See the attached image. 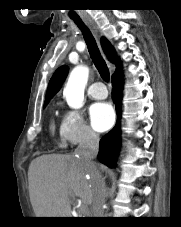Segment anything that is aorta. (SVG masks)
<instances>
[{"mask_svg": "<svg viewBox=\"0 0 181 227\" xmlns=\"http://www.w3.org/2000/svg\"><path fill=\"white\" fill-rule=\"evenodd\" d=\"M89 69L85 65L76 66L70 73L63 91L69 107L79 109L84 104V90L87 85Z\"/></svg>", "mask_w": 181, "mask_h": 227, "instance_id": "aorta-1", "label": "aorta"}]
</instances>
